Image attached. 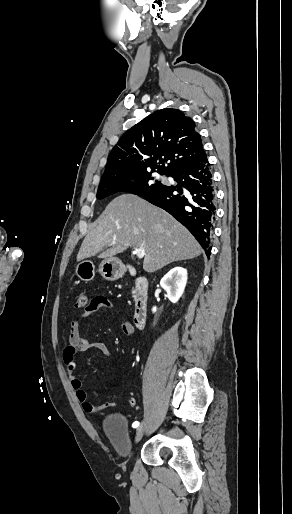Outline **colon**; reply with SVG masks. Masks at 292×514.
Here are the masks:
<instances>
[{
    "mask_svg": "<svg viewBox=\"0 0 292 514\" xmlns=\"http://www.w3.org/2000/svg\"><path fill=\"white\" fill-rule=\"evenodd\" d=\"M90 308L89 297L87 292L82 291L77 294L75 309L76 310H88Z\"/></svg>",
    "mask_w": 292,
    "mask_h": 514,
    "instance_id": "1",
    "label": "colon"
}]
</instances>
